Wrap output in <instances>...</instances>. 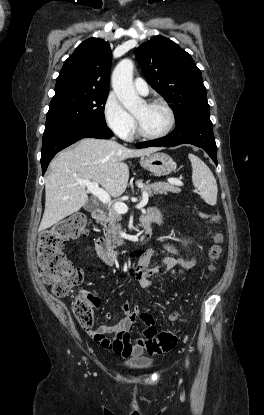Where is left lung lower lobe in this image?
<instances>
[{
  "label": "left lung lower lobe",
  "mask_w": 264,
  "mask_h": 415,
  "mask_svg": "<svg viewBox=\"0 0 264 415\" xmlns=\"http://www.w3.org/2000/svg\"><path fill=\"white\" fill-rule=\"evenodd\" d=\"M185 143L204 149L217 165V147L213 135V125L210 120L209 111L193 112L178 122L175 130L166 137L138 143L136 147H174Z\"/></svg>",
  "instance_id": "1"
}]
</instances>
